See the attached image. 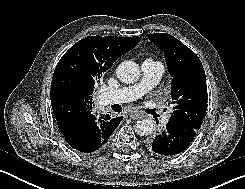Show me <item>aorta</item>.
Returning <instances> with one entry per match:
<instances>
[{
  "label": "aorta",
  "mask_w": 245,
  "mask_h": 189,
  "mask_svg": "<svg viewBox=\"0 0 245 189\" xmlns=\"http://www.w3.org/2000/svg\"><path fill=\"white\" fill-rule=\"evenodd\" d=\"M117 78L126 84L136 82L140 77V68L133 61L122 62L116 70ZM154 124L149 119H143L136 122L135 131L141 136H147L153 132Z\"/></svg>",
  "instance_id": "aorta-1"
}]
</instances>
